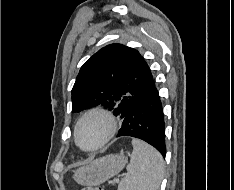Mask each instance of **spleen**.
I'll list each match as a JSON object with an SVG mask.
<instances>
[{
    "label": "spleen",
    "instance_id": "3e777b00",
    "mask_svg": "<svg viewBox=\"0 0 234 190\" xmlns=\"http://www.w3.org/2000/svg\"><path fill=\"white\" fill-rule=\"evenodd\" d=\"M132 146L127 173L120 181L118 190H158L165 172L161 154L139 139H132Z\"/></svg>",
    "mask_w": 234,
    "mask_h": 190
}]
</instances>
